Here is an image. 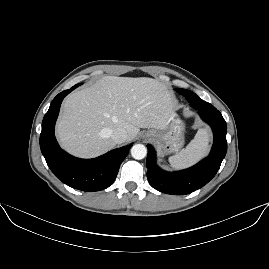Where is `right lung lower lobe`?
Masks as SVG:
<instances>
[{
    "label": "right lung lower lobe",
    "mask_w": 269,
    "mask_h": 269,
    "mask_svg": "<svg viewBox=\"0 0 269 269\" xmlns=\"http://www.w3.org/2000/svg\"><path fill=\"white\" fill-rule=\"evenodd\" d=\"M80 84L59 93L51 102L42 122L40 148L55 176L68 186L82 191H100L115 180L120 164L132 144L112 150L95 159H79L63 151L55 138L54 127L64 97Z\"/></svg>",
    "instance_id": "1"
}]
</instances>
